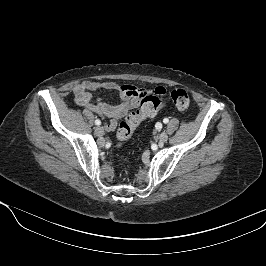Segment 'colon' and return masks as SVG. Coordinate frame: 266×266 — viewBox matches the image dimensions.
I'll list each match as a JSON object with an SVG mask.
<instances>
[{
	"mask_svg": "<svg viewBox=\"0 0 266 266\" xmlns=\"http://www.w3.org/2000/svg\"><path fill=\"white\" fill-rule=\"evenodd\" d=\"M172 104L185 110L190 106V98L184 89H174L170 93ZM167 105L164 94L148 93L143 95L140 108L129 114L119 125L117 130L118 145H124L131 137L134 129L145 119L155 116L158 111Z\"/></svg>",
	"mask_w": 266,
	"mask_h": 266,
	"instance_id": "obj_1",
	"label": "colon"
}]
</instances>
